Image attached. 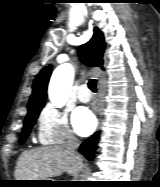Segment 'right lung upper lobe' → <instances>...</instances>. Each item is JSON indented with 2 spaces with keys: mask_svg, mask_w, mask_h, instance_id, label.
Segmentation results:
<instances>
[{
  "mask_svg": "<svg viewBox=\"0 0 160 187\" xmlns=\"http://www.w3.org/2000/svg\"><path fill=\"white\" fill-rule=\"evenodd\" d=\"M103 33L94 28L93 37L87 43L79 47L78 53L80 60L88 66H99L103 64V54L105 50ZM51 76V66L43 68L36 76L33 83V93L28 103V113L43 108L46 100L47 85Z\"/></svg>",
  "mask_w": 160,
  "mask_h": 187,
  "instance_id": "cb5924a9",
  "label": "right lung upper lobe"
}]
</instances>
